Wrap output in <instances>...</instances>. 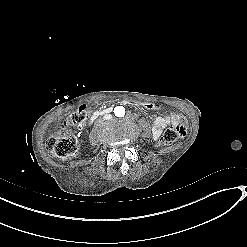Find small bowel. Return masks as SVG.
I'll return each mask as SVG.
<instances>
[{
	"instance_id": "small-bowel-1",
	"label": "small bowel",
	"mask_w": 247,
	"mask_h": 247,
	"mask_svg": "<svg viewBox=\"0 0 247 247\" xmlns=\"http://www.w3.org/2000/svg\"><path fill=\"white\" fill-rule=\"evenodd\" d=\"M183 116L180 113H171L168 115L158 116L153 123V136L155 139H159L162 131L168 125L182 124Z\"/></svg>"
}]
</instances>
